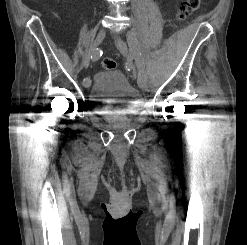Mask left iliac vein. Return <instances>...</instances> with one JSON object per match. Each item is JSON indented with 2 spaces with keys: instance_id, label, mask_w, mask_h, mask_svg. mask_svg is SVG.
<instances>
[{
  "instance_id": "obj_1",
  "label": "left iliac vein",
  "mask_w": 247,
  "mask_h": 245,
  "mask_svg": "<svg viewBox=\"0 0 247 245\" xmlns=\"http://www.w3.org/2000/svg\"><path fill=\"white\" fill-rule=\"evenodd\" d=\"M127 36H128V34H127ZM114 41H115L119 51L121 52V54L124 55L125 57H127L128 59H130V52L128 50L127 45L122 41V39L120 37L114 35ZM134 74H136L135 70H134ZM138 85L140 88L145 89V90H147L149 88V83H148L146 77L142 81L138 80Z\"/></svg>"
}]
</instances>
